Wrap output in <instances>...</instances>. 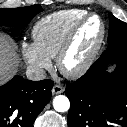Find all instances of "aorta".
I'll list each match as a JSON object with an SVG mask.
<instances>
[{
	"label": "aorta",
	"mask_w": 127,
	"mask_h": 127,
	"mask_svg": "<svg viewBox=\"0 0 127 127\" xmlns=\"http://www.w3.org/2000/svg\"><path fill=\"white\" fill-rule=\"evenodd\" d=\"M53 107L57 112H66L70 108V101L64 95H58L53 100Z\"/></svg>",
	"instance_id": "1"
}]
</instances>
